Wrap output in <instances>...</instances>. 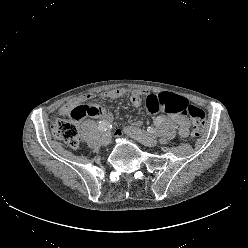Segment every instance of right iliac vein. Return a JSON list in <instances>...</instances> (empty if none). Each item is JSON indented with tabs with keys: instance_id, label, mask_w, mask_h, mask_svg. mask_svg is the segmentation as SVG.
Masks as SVG:
<instances>
[{
	"instance_id": "63e3f726",
	"label": "right iliac vein",
	"mask_w": 248,
	"mask_h": 248,
	"mask_svg": "<svg viewBox=\"0 0 248 248\" xmlns=\"http://www.w3.org/2000/svg\"><path fill=\"white\" fill-rule=\"evenodd\" d=\"M110 141H111L110 133L106 132L101 136L100 142L103 146L109 145Z\"/></svg>"
}]
</instances>
